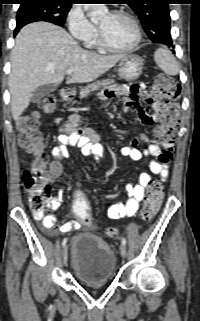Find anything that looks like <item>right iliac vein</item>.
<instances>
[{
    "instance_id": "right-iliac-vein-1",
    "label": "right iliac vein",
    "mask_w": 200,
    "mask_h": 321,
    "mask_svg": "<svg viewBox=\"0 0 200 321\" xmlns=\"http://www.w3.org/2000/svg\"><path fill=\"white\" fill-rule=\"evenodd\" d=\"M67 257H68V249H67V246H65L63 251H62V258H63V262L64 263H66Z\"/></svg>"
}]
</instances>
